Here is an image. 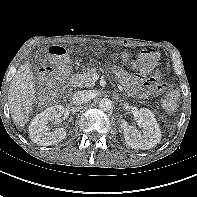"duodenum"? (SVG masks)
Here are the masks:
<instances>
[{
    "instance_id": "duodenum-1",
    "label": "duodenum",
    "mask_w": 197,
    "mask_h": 197,
    "mask_svg": "<svg viewBox=\"0 0 197 197\" xmlns=\"http://www.w3.org/2000/svg\"><path fill=\"white\" fill-rule=\"evenodd\" d=\"M71 89H72V87H71V86H69V87H68V91H71Z\"/></svg>"
}]
</instances>
